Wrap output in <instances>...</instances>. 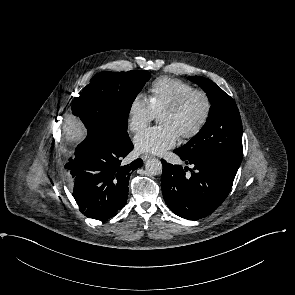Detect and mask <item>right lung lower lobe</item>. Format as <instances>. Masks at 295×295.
<instances>
[{
  "label": "right lung lower lobe",
  "mask_w": 295,
  "mask_h": 295,
  "mask_svg": "<svg viewBox=\"0 0 295 295\" xmlns=\"http://www.w3.org/2000/svg\"><path fill=\"white\" fill-rule=\"evenodd\" d=\"M132 150L130 138L117 142L95 130H88L77 146L65 169L72 181L73 197L86 217L105 221L126 205L130 175L143 165L140 158L122 165Z\"/></svg>",
  "instance_id": "1"
}]
</instances>
